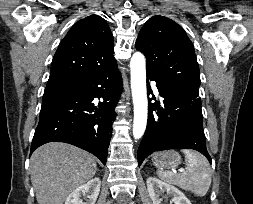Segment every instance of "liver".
Returning <instances> with one entry per match:
<instances>
[{"label":"liver","mask_w":253,"mask_h":204,"mask_svg":"<svg viewBox=\"0 0 253 204\" xmlns=\"http://www.w3.org/2000/svg\"><path fill=\"white\" fill-rule=\"evenodd\" d=\"M31 182L38 204H63L66 198L96 173L95 158L66 143H47L34 151Z\"/></svg>","instance_id":"6515ba94"}]
</instances>
